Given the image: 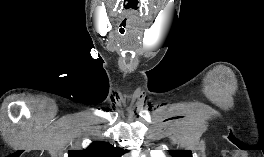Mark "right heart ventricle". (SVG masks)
<instances>
[{"instance_id": "obj_1", "label": "right heart ventricle", "mask_w": 264, "mask_h": 157, "mask_svg": "<svg viewBox=\"0 0 264 157\" xmlns=\"http://www.w3.org/2000/svg\"><path fill=\"white\" fill-rule=\"evenodd\" d=\"M152 157H165V156H163L162 154L156 153V154H153Z\"/></svg>"}]
</instances>
